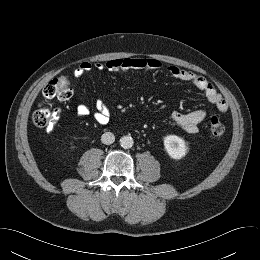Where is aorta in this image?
Instances as JSON below:
<instances>
[{"mask_svg": "<svg viewBox=\"0 0 260 260\" xmlns=\"http://www.w3.org/2000/svg\"><path fill=\"white\" fill-rule=\"evenodd\" d=\"M134 141L130 135H126L120 138V145L124 149H129L133 146Z\"/></svg>", "mask_w": 260, "mask_h": 260, "instance_id": "1", "label": "aorta"}]
</instances>
